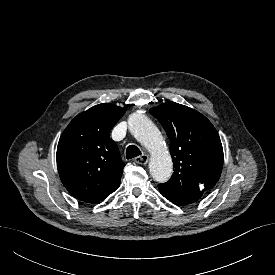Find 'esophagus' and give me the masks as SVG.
<instances>
[{"mask_svg":"<svg viewBox=\"0 0 275 275\" xmlns=\"http://www.w3.org/2000/svg\"><path fill=\"white\" fill-rule=\"evenodd\" d=\"M149 157L147 154H142L135 158V162L140 165H145L148 163Z\"/></svg>","mask_w":275,"mask_h":275,"instance_id":"34e87169","label":"esophagus"}]
</instances>
